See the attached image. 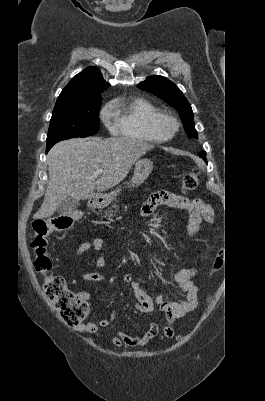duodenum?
Returning a JSON list of instances; mask_svg holds the SVG:
<instances>
[{"label":"duodenum","instance_id":"410a0bca","mask_svg":"<svg viewBox=\"0 0 265 401\" xmlns=\"http://www.w3.org/2000/svg\"><path fill=\"white\" fill-rule=\"evenodd\" d=\"M90 206L92 209H98L101 207V202L98 198H94L92 199Z\"/></svg>","mask_w":265,"mask_h":401}]
</instances>
